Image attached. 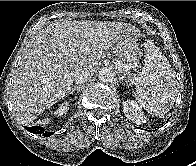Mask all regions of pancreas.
I'll list each match as a JSON object with an SVG mask.
<instances>
[{
    "label": "pancreas",
    "instance_id": "1",
    "mask_svg": "<svg viewBox=\"0 0 196 166\" xmlns=\"http://www.w3.org/2000/svg\"><path fill=\"white\" fill-rule=\"evenodd\" d=\"M125 72H126V74H127V75H130V73H129V72H127V71H125Z\"/></svg>",
    "mask_w": 196,
    "mask_h": 166
}]
</instances>
